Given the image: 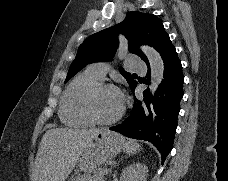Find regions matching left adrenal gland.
Here are the masks:
<instances>
[{"label":"left adrenal gland","mask_w":228,"mask_h":181,"mask_svg":"<svg viewBox=\"0 0 228 181\" xmlns=\"http://www.w3.org/2000/svg\"><path fill=\"white\" fill-rule=\"evenodd\" d=\"M119 163H120V161H119ZM114 167H116V165H114ZM109 173H111V171H109Z\"/></svg>","instance_id":"1"}]
</instances>
